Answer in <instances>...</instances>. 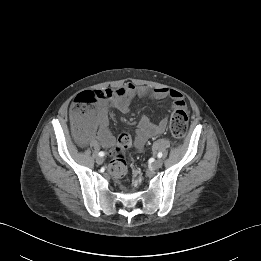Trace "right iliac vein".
<instances>
[{"mask_svg": "<svg viewBox=\"0 0 261 261\" xmlns=\"http://www.w3.org/2000/svg\"><path fill=\"white\" fill-rule=\"evenodd\" d=\"M96 162H97V164L101 165L104 162V158L103 157H97Z\"/></svg>", "mask_w": 261, "mask_h": 261, "instance_id": "right-iliac-vein-1", "label": "right iliac vein"}]
</instances>
